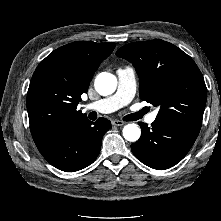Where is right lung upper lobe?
Returning <instances> with one entry per match:
<instances>
[{
	"label": "right lung upper lobe",
	"mask_w": 221,
	"mask_h": 221,
	"mask_svg": "<svg viewBox=\"0 0 221 221\" xmlns=\"http://www.w3.org/2000/svg\"><path fill=\"white\" fill-rule=\"evenodd\" d=\"M115 43L78 41L64 45L36 68L27 93V111L34 142L68 125L86 120L77 110L81 94Z\"/></svg>",
	"instance_id": "1"
}]
</instances>
